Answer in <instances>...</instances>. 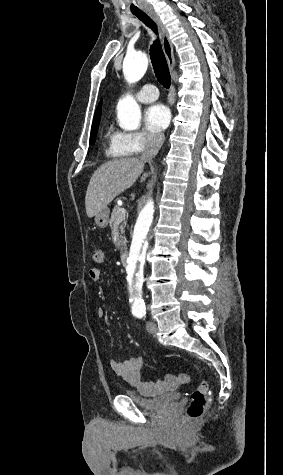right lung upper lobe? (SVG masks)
Wrapping results in <instances>:
<instances>
[{
    "instance_id": "1",
    "label": "right lung upper lobe",
    "mask_w": 283,
    "mask_h": 475,
    "mask_svg": "<svg viewBox=\"0 0 283 475\" xmlns=\"http://www.w3.org/2000/svg\"><path fill=\"white\" fill-rule=\"evenodd\" d=\"M101 104H102V101H100L99 106H101Z\"/></svg>"
}]
</instances>
